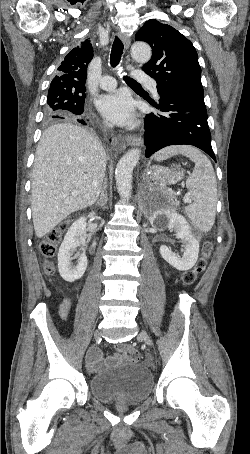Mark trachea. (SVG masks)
Segmentation results:
<instances>
[{
    "label": "trachea",
    "mask_w": 250,
    "mask_h": 454,
    "mask_svg": "<svg viewBox=\"0 0 250 454\" xmlns=\"http://www.w3.org/2000/svg\"><path fill=\"white\" fill-rule=\"evenodd\" d=\"M123 49H124V46H123L122 41L118 37H115V40L113 42L112 49H111V54H110V64L112 67H116L119 64L122 53H123ZM123 79L130 86L141 87V85L139 83H137L135 80L131 79L130 77L124 76Z\"/></svg>",
    "instance_id": "obj_1"
}]
</instances>
